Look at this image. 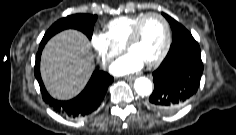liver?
Masks as SVG:
<instances>
[{
  "mask_svg": "<svg viewBox=\"0 0 236 135\" xmlns=\"http://www.w3.org/2000/svg\"><path fill=\"white\" fill-rule=\"evenodd\" d=\"M41 76L54 98L67 100L86 85L94 70V57L87 37L73 29L52 37L41 58Z\"/></svg>",
  "mask_w": 236,
  "mask_h": 135,
  "instance_id": "obj_1",
  "label": "liver"
}]
</instances>
